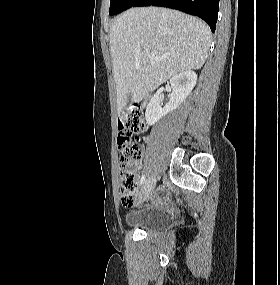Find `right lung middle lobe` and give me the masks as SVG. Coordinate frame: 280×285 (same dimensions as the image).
Wrapping results in <instances>:
<instances>
[{
    "label": "right lung middle lobe",
    "mask_w": 280,
    "mask_h": 285,
    "mask_svg": "<svg viewBox=\"0 0 280 285\" xmlns=\"http://www.w3.org/2000/svg\"><path fill=\"white\" fill-rule=\"evenodd\" d=\"M138 0H110L109 15L118 14L132 7Z\"/></svg>",
    "instance_id": "1"
}]
</instances>
